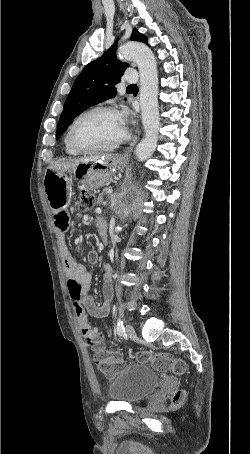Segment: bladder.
Returning <instances> with one entry per match:
<instances>
[{"label":"bladder","mask_w":250,"mask_h":454,"mask_svg":"<svg viewBox=\"0 0 250 454\" xmlns=\"http://www.w3.org/2000/svg\"><path fill=\"white\" fill-rule=\"evenodd\" d=\"M160 378L148 365H129L110 379L108 396L118 402H139L156 389Z\"/></svg>","instance_id":"1"}]
</instances>
